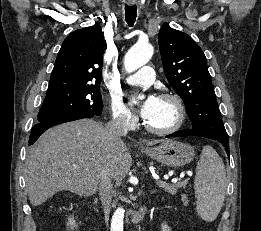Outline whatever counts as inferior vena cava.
<instances>
[{"instance_id":"obj_1","label":"inferior vena cava","mask_w":261,"mask_h":231,"mask_svg":"<svg viewBox=\"0 0 261 231\" xmlns=\"http://www.w3.org/2000/svg\"><path fill=\"white\" fill-rule=\"evenodd\" d=\"M105 130L108 142H118L121 140V137L125 136L128 132L127 120L123 117L114 118L105 125ZM99 193L105 217L108 219L112 204L113 184L112 174L106 167H103L100 172Z\"/></svg>"}]
</instances>
